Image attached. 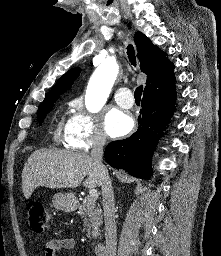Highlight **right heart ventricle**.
Segmentation results:
<instances>
[{
	"label": "right heart ventricle",
	"instance_id": "e07e8e85",
	"mask_svg": "<svg viewBox=\"0 0 221 256\" xmlns=\"http://www.w3.org/2000/svg\"><path fill=\"white\" fill-rule=\"evenodd\" d=\"M63 120L58 121L55 131L54 138L60 140L61 139V129H62ZM65 140V138H64Z\"/></svg>",
	"mask_w": 221,
	"mask_h": 256
}]
</instances>
